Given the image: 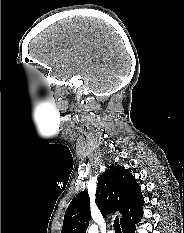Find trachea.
<instances>
[{"mask_svg":"<svg viewBox=\"0 0 184 233\" xmlns=\"http://www.w3.org/2000/svg\"><path fill=\"white\" fill-rule=\"evenodd\" d=\"M113 227H114L115 233H121V228H120L118 216L114 220Z\"/></svg>","mask_w":184,"mask_h":233,"instance_id":"1","label":"trachea"}]
</instances>
